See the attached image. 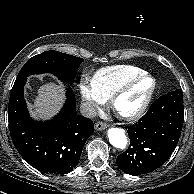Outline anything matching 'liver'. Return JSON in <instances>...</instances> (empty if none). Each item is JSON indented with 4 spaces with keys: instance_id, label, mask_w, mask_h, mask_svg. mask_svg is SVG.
Returning a JSON list of instances; mask_svg holds the SVG:
<instances>
[{
    "instance_id": "1",
    "label": "liver",
    "mask_w": 194,
    "mask_h": 194,
    "mask_svg": "<svg viewBox=\"0 0 194 194\" xmlns=\"http://www.w3.org/2000/svg\"><path fill=\"white\" fill-rule=\"evenodd\" d=\"M62 84L46 83L39 87L33 104L29 105L31 115L37 119H49L54 116L64 103Z\"/></svg>"
}]
</instances>
